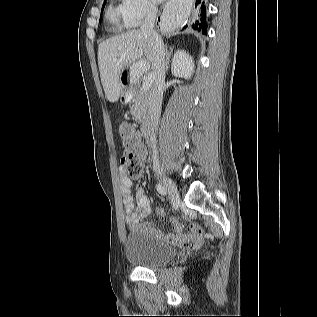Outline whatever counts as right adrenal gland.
Wrapping results in <instances>:
<instances>
[{
    "label": "right adrenal gland",
    "instance_id": "2a0ac1e0",
    "mask_svg": "<svg viewBox=\"0 0 317 317\" xmlns=\"http://www.w3.org/2000/svg\"><path fill=\"white\" fill-rule=\"evenodd\" d=\"M165 53H166V63H167L166 71H168L170 58H171V55H172V53H173V48H170V49L168 50V47L166 46V47H165Z\"/></svg>",
    "mask_w": 317,
    "mask_h": 317
}]
</instances>
